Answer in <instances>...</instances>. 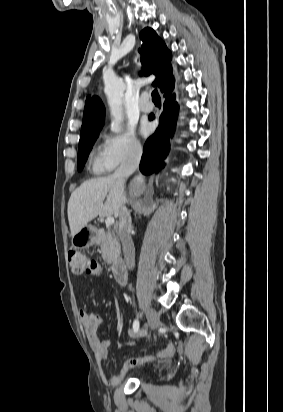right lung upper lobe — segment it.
Returning a JSON list of instances; mask_svg holds the SVG:
<instances>
[{"label": "right lung upper lobe", "instance_id": "cb5924a9", "mask_svg": "<svg viewBox=\"0 0 283 412\" xmlns=\"http://www.w3.org/2000/svg\"><path fill=\"white\" fill-rule=\"evenodd\" d=\"M142 46L141 54L142 70L145 76L154 74L157 76L154 86L165 89L167 85L174 84L171 65L172 54L155 31L145 28L140 33ZM142 74V73H141ZM105 120V107L97 96H88L83 113V122L80 138L86 135L100 132Z\"/></svg>", "mask_w": 283, "mask_h": 412}]
</instances>
